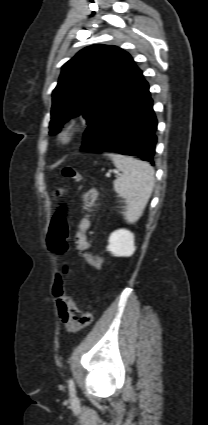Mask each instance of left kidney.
I'll return each instance as SVG.
<instances>
[{"label":"left kidney","instance_id":"1","mask_svg":"<svg viewBox=\"0 0 208 425\" xmlns=\"http://www.w3.org/2000/svg\"><path fill=\"white\" fill-rule=\"evenodd\" d=\"M108 242L107 250L117 257H129L136 250L134 235L126 229H119L111 233Z\"/></svg>","mask_w":208,"mask_h":425}]
</instances>
